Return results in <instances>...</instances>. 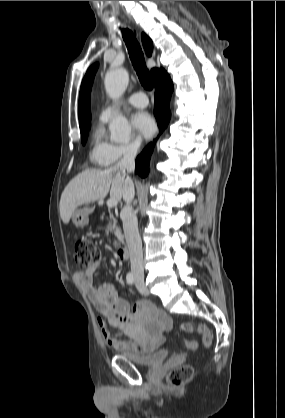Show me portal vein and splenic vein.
<instances>
[{
    "label": "portal vein and splenic vein",
    "instance_id": "18ae733b",
    "mask_svg": "<svg viewBox=\"0 0 285 418\" xmlns=\"http://www.w3.org/2000/svg\"><path fill=\"white\" fill-rule=\"evenodd\" d=\"M118 201L116 199H109L107 201V206L109 209L116 207L117 206Z\"/></svg>",
    "mask_w": 285,
    "mask_h": 418
}]
</instances>
